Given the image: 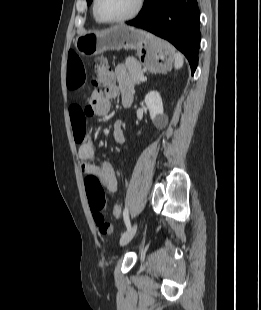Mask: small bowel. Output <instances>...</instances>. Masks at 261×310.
I'll return each instance as SVG.
<instances>
[{
  "instance_id": "obj_1",
  "label": "small bowel",
  "mask_w": 261,
  "mask_h": 310,
  "mask_svg": "<svg viewBox=\"0 0 261 310\" xmlns=\"http://www.w3.org/2000/svg\"><path fill=\"white\" fill-rule=\"evenodd\" d=\"M116 83L109 84L103 93L95 91L92 95L90 105L84 110L74 104L70 108L71 123L74 138L78 145V157L81 170L87 176L97 177L105 188L114 193L118 189V180L114 167L111 163L105 162L101 165L95 163V146L89 136L86 127V116L104 115L110 109V101L121 95L122 100H132L134 87L127 77V69L124 65H118L115 71ZM86 81L85 66L80 56L75 52L68 53L67 63V88L70 91L80 90ZM113 136L117 144L124 142L122 124L117 121L113 127Z\"/></svg>"
}]
</instances>
